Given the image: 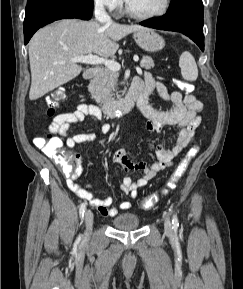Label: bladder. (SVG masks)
<instances>
[{
  "instance_id": "obj_1",
  "label": "bladder",
  "mask_w": 243,
  "mask_h": 289,
  "mask_svg": "<svg viewBox=\"0 0 243 289\" xmlns=\"http://www.w3.org/2000/svg\"><path fill=\"white\" fill-rule=\"evenodd\" d=\"M112 225L118 230H133L139 227L140 221L134 213H122L112 220Z\"/></svg>"
}]
</instances>
